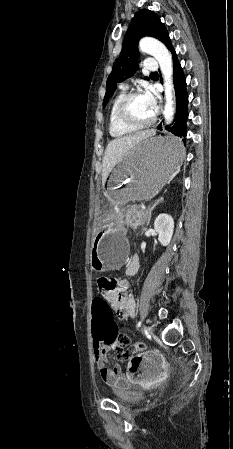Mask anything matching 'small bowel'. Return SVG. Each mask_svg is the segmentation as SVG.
I'll list each match as a JSON object with an SVG mask.
<instances>
[{"label":"small bowel","mask_w":233,"mask_h":449,"mask_svg":"<svg viewBox=\"0 0 233 449\" xmlns=\"http://www.w3.org/2000/svg\"><path fill=\"white\" fill-rule=\"evenodd\" d=\"M138 269V259L132 258L126 266V275L134 276ZM97 284L103 293L104 301L111 304L121 319L135 317V298L129 291L130 284L126 279L118 278L117 274H101ZM114 348L115 346H112V349H93L92 345L94 362L101 378L110 386L118 385L126 380L120 366L117 365L113 368L107 366V354ZM162 361V354H145L143 368H136V375H130V384H141L143 390H152L157 381L156 377H163L168 370L167 363H162Z\"/></svg>","instance_id":"obj_1"}]
</instances>
